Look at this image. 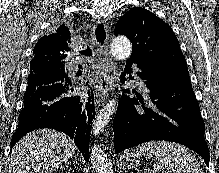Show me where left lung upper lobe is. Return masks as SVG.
<instances>
[{"instance_id":"obj_1","label":"left lung upper lobe","mask_w":219,"mask_h":173,"mask_svg":"<svg viewBox=\"0 0 219 173\" xmlns=\"http://www.w3.org/2000/svg\"><path fill=\"white\" fill-rule=\"evenodd\" d=\"M114 33L130 38V59L164 68L170 80L189 77L185 57L169 25L150 11L136 7L119 18Z\"/></svg>"}]
</instances>
